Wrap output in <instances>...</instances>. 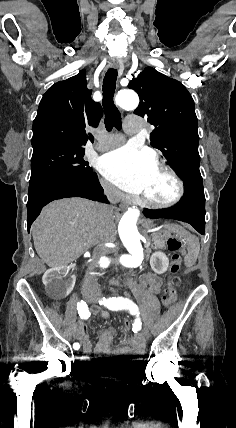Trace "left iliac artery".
I'll return each mask as SVG.
<instances>
[{"instance_id": "left-iliac-artery-1", "label": "left iliac artery", "mask_w": 236, "mask_h": 428, "mask_svg": "<svg viewBox=\"0 0 236 428\" xmlns=\"http://www.w3.org/2000/svg\"><path fill=\"white\" fill-rule=\"evenodd\" d=\"M100 305H104L106 306L108 309L112 310V311H117V310H122V309H128L130 307H132L133 305H135L132 301H130L127 298H123V297H112L109 299H105L103 298V300L99 301Z\"/></svg>"}]
</instances>
